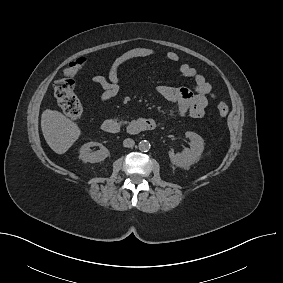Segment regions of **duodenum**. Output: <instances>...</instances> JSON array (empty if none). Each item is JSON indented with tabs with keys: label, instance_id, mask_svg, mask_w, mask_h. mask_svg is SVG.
<instances>
[{
	"label": "duodenum",
	"instance_id": "410a0bca",
	"mask_svg": "<svg viewBox=\"0 0 283 283\" xmlns=\"http://www.w3.org/2000/svg\"><path fill=\"white\" fill-rule=\"evenodd\" d=\"M156 127V123L152 119L138 118L129 122L127 130L130 134H138L141 132L152 131ZM102 129L109 134H117L121 131V124L115 119H106L102 123Z\"/></svg>",
	"mask_w": 283,
	"mask_h": 283
}]
</instances>
